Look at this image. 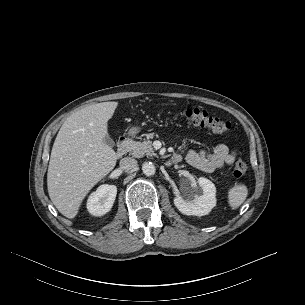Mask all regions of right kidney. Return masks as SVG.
Wrapping results in <instances>:
<instances>
[{
	"instance_id": "1",
	"label": "right kidney",
	"mask_w": 305,
	"mask_h": 305,
	"mask_svg": "<svg viewBox=\"0 0 305 305\" xmlns=\"http://www.w3.org/2000/svg\"><path fill=\"white\" fill-rule=\"evenodd\" d=\"M117 194L115 185H101L89 196L87 210L94 216H102L109 212L113 206Z\"/></svg>"
}]
</instances>
